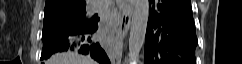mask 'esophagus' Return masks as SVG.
Instances as JSON below:
<instances>
[{
	"instance_id": "obj_1",
	"label": "esophagus",
	"mask_w": 242,
	"mask_h": 64,
	"mask_svg": "<svg viewBox=\"0 0 242 64\" xmlns=\"http://www.w3.org/2000/svg\"><path fill=\"white\" fill-rule=\"evenodd\" d=\"M134 10V0H123L122 14L119 23L118 36L123 39L129 30L131 18Z\"/></svg>"
}]
</instances>
